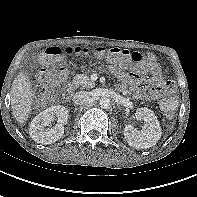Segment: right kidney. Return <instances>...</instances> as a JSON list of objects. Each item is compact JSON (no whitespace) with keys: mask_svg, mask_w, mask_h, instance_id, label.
<instances>
[{"mask_svg":"<svg viewBox=\"0 0 197 197\" xmlns=\"http://www.w3.org/2000/svg\"><path fill=\"white\" fill-rule=\"evenodd\" d=\"M55 117L58 119L56 126L48 128ZM67 119V108L62 105L51 106L33 118L29 128L30 137L37 143L52 144L63 136Z\"/></svg>","mask_w":197,"mask_h":197,"instance_id":"ca27d5eb","label":"right kidney"}]
</instances>
